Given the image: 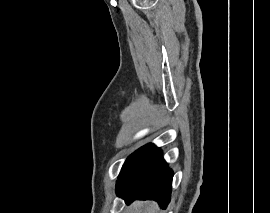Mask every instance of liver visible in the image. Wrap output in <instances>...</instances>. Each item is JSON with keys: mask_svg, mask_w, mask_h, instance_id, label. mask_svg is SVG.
Returning a JSON list of instances; mask_svg holds the SVG:
<instances>
[{"mask_svg": "<svg viewBox=\"0 0 270 213\" xmlns=\"http://www.w3.org/2000/svg\"><path fill=\"white\" fill-rule=\"evenodd\" d=\"M133 208L136 211H140L142 208H145L144 213H158V206L155 202H148V203H143V202H135L133 204ZM136 213H141V212H136Z\"/></svg>", "mask_w": 270, "mask_h": 213, "instance_id": "obj_1", "label": "liver"}]
</instances>
